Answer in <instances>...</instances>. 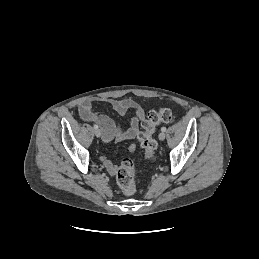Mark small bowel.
I'll return each instance as SVG.
<instances>
[{
    "mask_svg": "<svg viewBox=\"0 0 259 259\" xmlns=\"http://www.w3.org/2000/svg\"><path fill=\"white\" fill-rule=\"evenodd\" d=\"M95 101H100L109 104L118 114L124 115L128 111L133 112V117L130 120V125L123 130L115 125L113 120L106 115L99 114L93 110ZM78 112L86 122H94L101 127L102 140L105 143L115 141L130 140L137 136L140 123L145 119V113L139 103L132 99H115L110 97H101L98 99H85L78 106ZM130 151H135L136 146L130 145ZM103 165L110 174H115L117 166L106 158H102Z\"/></svg>",
    "mask_w": 259,
    "mask_h": 259,
    "instance_id": "c3829d8e",
    "label": "small bowel"
}]
</instances>
